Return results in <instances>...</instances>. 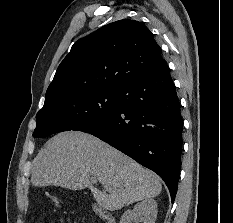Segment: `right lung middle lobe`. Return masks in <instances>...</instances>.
<instances>
[{
  "mask_svg": "<svg viewBox=\"0 0 233 223\" xmlns=\"http://www.w3.org/2000/svg\"><path fill=\"white\" fill-rule=\"evenodd\" d=\"M119 93L118 88H92L45 103L36 115L33 137L43 138L61 131L78 130L116 111Z\"/></svg>",
  "mask_w": 233,
  "mask_h": 223,
  "instance_id": "right-lung-middle-lobe-1",
  "label": "right lung middle lobe"
}]
</instances>
